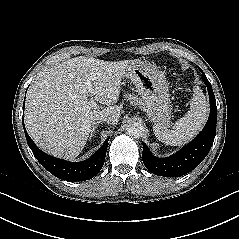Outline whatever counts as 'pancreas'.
<instances>
[{
  "label": "pancreas",
  "instance_id": "obj_1",
  "mask_svg": "<svg viewBox=\"0 0 239 239\" xmlns=\"http://www.w3.org/2000/svg\"><path fill=\"white\" fill-rule=\"evenodd\" d=\"M125 99L129 100L131 103H137L138 102V98L135 95H131V94H126L124 96Z\"/></svg>",
  "mask_w": 239,
  "mask_h": 239
}]
</instances>
